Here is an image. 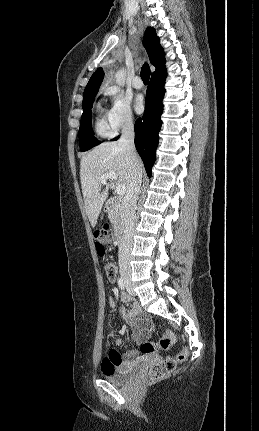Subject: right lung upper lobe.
<instances>
[{
	"label": "right lung upper lobe",
	"instance_id": "cb5924a9",
	"mask_svg": "<svg viewBox=\"0 0 259 431\" xmlns=\"http://www.w3.org/2000/svg\"><path fill=\"white\" fill-rule=\"evenodd\" d=\"M143 44L147 50L150 62L155 66L156 70L153 74L158 73L165 69V56L163 48L160 45L159 37L156 35V31L152 27H148L145 31ZM104 77L102 68H99L91 76L85 90L84 95L91 92H98L101 82Z\"/></svg>",
	"mask_w": 259,
	"mask_h": 431
}]
</instances>
